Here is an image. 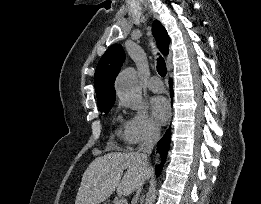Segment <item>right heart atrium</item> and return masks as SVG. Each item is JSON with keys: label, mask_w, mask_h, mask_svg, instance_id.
Instances as JSON below:
<instances>
[{"label": "right heart atrium", "mask_w": 261, "mask_h": 204, "mask_svg": "<svg viewBox=\"0 0 261 204\" xmlns=\"http://www.w3.org/2000/svg\"><path fill=\"white\" fill-rule=\"evenodd\" d=\"M159 135V126L144 109L135 111L124 125V139L130 146L151 141Z\"/></svg>", "instance_id": "d8ad5b80"}]
</instances>
